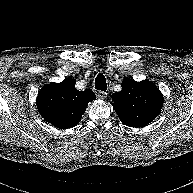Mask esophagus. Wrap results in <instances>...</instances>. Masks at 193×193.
<instances>
[{
    "mask_svg": "<svg viewBox=\"0 0 193 193\" xmlns=\"http://www.w3.org/2000/svg\"><path fill=\"white\" fill-rule=\"evenodd\" d=\"M97 96H98V98H100V99H105V98L107 97V93L104 92V91H98V92H97Z\"/></svg>",
    "mask_w": 193,
    "mask_h": 193,
    "instance_id": "esophagus-1",
    "label": "esophagus"
}]
</instances>
